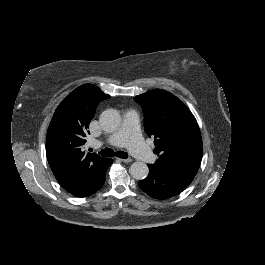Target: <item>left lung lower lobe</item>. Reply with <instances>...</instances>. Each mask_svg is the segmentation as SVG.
Returning a JSON list of instances; mask_svg holds the SVG:
<instances>
[{
  "instance_id": "obj_1",
  "label": "left lung lower lobe",
  "mask_w": 265,
  "mask_h": 265,
  "mask_svg": "<svg viewBox=\"0 0 265 265\" xmlns=\"http://www.w3.org/2000/svg\"><path fill=\"white\" fill-rule=\"evenodd\" d=\"M149 175L139 181V187L156 199H168L185 190L195 175L156 169L148 164Z\"/></svg>"
}]
</instances>
